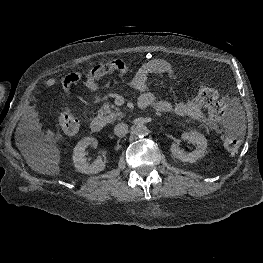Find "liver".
<instances>
[{"mask_svg":"<svg viewBox=\"0 0 263 263\" xmlns=\"http://www.w3.org/2000/svg\"><path fill=\"white\" fill-rule=\"evenodd\" d=\"M27 161L30 163V159L29 158H27Z\"/></svg>","mask_w":263,"mask_h":263,"instance_id":"1","label":"liver"}]
</instances>
